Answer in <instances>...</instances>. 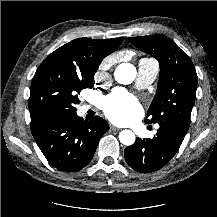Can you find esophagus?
<instances>
[{
    "instance_id": "esophagus-1",
    "label": "esophagus",
    "mask_w": 217,
    "mask_h": 217,
    "mask_svg": "<svg viewBox=\"0 0 217 217\" xmlns=\"http://www.w3.org/2000/svg\"><path fill=\"white\" fill-rule=\"evenodd\" d=\"M110 129L113 130V131H119L120 128L114 126V125H110Z\"/></svg>"
}]
</instances>
